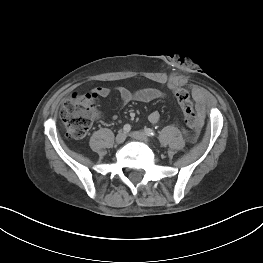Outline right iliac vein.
I'll return each instance as SVG.
<instances>
[{
    "label": "right iliac vein",
    "instance_id": "63e3f726",
    "mask_svg": "<svg viewBox=\"0 0 263 263\" xmlns=\"http://www.w3.org/2000/svg\"><path fill=\"white\" fill-rule=\"evenodd\" d=\"M125 139H126V134L123 131H120L115 138V142L117 144H121L125 141Z\"/></svg>",
    "mask_w": 263,
    "mask_h": 263
}]
</instances>
